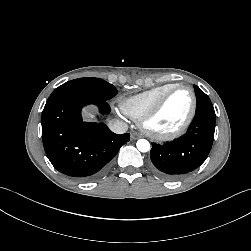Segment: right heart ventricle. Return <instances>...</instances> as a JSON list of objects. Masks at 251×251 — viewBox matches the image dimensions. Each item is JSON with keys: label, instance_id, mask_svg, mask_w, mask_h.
Instances as JSON below:
<instances>
[{"label": "right heart ventricle", "instance_id": "right-heart-ventricle-1", "mask_svg": "<svg viewBox=\"0 0 251 251\" xmlns=\"http://www.w3.org/2000/svg\"><path fill=\"white\" fill-rule=\"evenodd\" d=\"M176 84H165L147 91L128 96L119 102L120 110L126 116L140 120L141 117L155 104V102Z\"/></svg>", "mask_w": 251, "mask_h": 251}]
</instances>
